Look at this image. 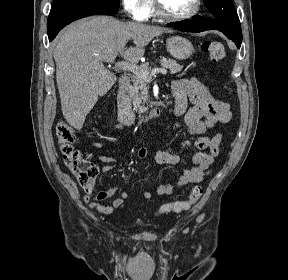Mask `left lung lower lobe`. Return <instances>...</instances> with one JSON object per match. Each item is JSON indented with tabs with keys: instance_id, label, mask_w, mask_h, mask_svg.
<instances>
[{
	"instance_id": "0a47b994",
	"label": "left lung lower lobe",
	"mask_w": 288,
	"mask_h": 280,
	"mask_svg": "<svg viewBox=\"0 0 288 280\" xmlns=\"http://www.w3.org/2000/svg\"><path fill=\"white\" fill-rule=\"evenodd\" d=\"M168 26L187 32H202L204 30L217 29L208 21V19H203L200 16H195L193 19L183 22L170 23ZM234 42L236 43L237 47L240 48L241 42Z\"/></svg>"
}]
</instances>
